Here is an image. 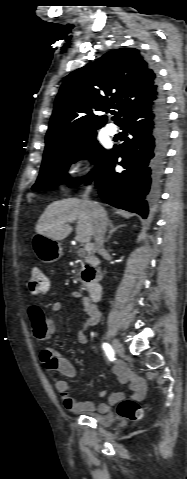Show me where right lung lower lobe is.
<instances>
[{
	"label": "right lung lower lobe",
	"mask_w": 187,
	"mask_h": 479,
	"mask_svg": "<svg viewBox=\"0 0 187 479\" xmlns=\"http://www.w3.org/2000/svg\"><path fill=\"white\" fill-rule=\"evenodd\" d=\"M119 125L131 138L109 150L87 184L95 181L100 197L108 204L146 218L149 206L158 198L169 140L168 108L163 95L152 105L126 115ZM118 158V164L126 169L122 173L114 170Z\"/></svg>",
	"instance_id": "98d812e1"
}]
</instances>
